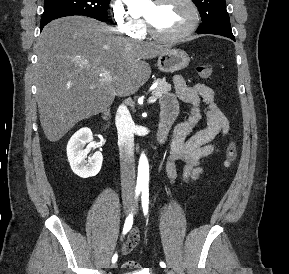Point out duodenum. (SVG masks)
I'll return each instance as SVG.
<instances>
[{
	"label": "duodenum",
	"mask_w": 289,
	"mask_h": 274,
	"mask_svg": "<svg viewBox=\"0 0 289 274\" xmlns=\"http://www.w3.org/2000/svg\"><path fill=\"white\" fill-rule=\"evenodd\" d=\"M109 116H110L109 111H105L103 113L101 118V125L103 126V128L107 127L109 122ZM175 116H176L175 111L161 114L158 131L154 138V141L157 145H162L166 141L170 133L172 124L174 122Z\"/></svg>",
	"instance_id": "obj_1"
}]
</instances>
